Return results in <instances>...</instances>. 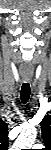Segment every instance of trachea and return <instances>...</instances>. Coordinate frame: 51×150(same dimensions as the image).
Instances as JSON below:
<instances>
[{"label": "trachea", "mask_w": 51, "mask_h": 150, "mask_svg": "<svg viewBox=\"0 0 51 150\" xmlns=\"http://www.w3.org/2000/svg\"><path fill=\"white\" fill-rule=\"evenodd\" d=\"M30 85L29 83H23L20 93V98L23 104H26L30 98Z\"/></svg>", "instance_id": "obj_1"}]
</instances>
